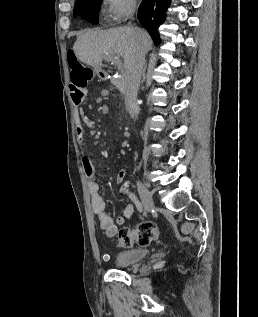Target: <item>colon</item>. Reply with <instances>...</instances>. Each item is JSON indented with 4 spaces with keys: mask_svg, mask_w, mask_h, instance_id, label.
I'll use <instances>...</instances> for the list:
<instances>
[{
    "mask_svg": "<svg viewBox=\"0 0 258 317\" xmlns=\"http://www.w3.org/2000/svg\"><path fill=\"white\" fill-rule=\"evenodd\" d=\"M67 61L70 68L71 79L83 85L89 84L94 78V70L82 64L74 50L67 51ZM160 236L158 226L153 222H143L135 228H122L116 238L118 246L129 248L134 245L147 246Z\"/></svg>",
    "mask_w": 258,
    "mask_h": 317,
    "instance_id": "5ec220e1",
    "label": "colon"
}]
</instances>
